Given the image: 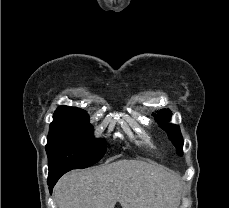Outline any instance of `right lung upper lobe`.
Returning a JSON list of instances; mask_svg holds the SVG:
<instances>
[{"mask_svg":"<svg viewBox=\"0 0 229 208\" xmlns=\"http://www.w3.org/2000/svg\"><path fill=\"white\" fill-rule=\"evenodd\" d=\"M55 112L72 114V115H76L80 117L89 118V115L86 113L85 110L77 108V107L59 106Z\"/></svg>","mask_w":229,"mask_h":208,"instance_id":"right-lung-upper-lobe-1","label":"right lung upper lobe"}]
</instances>
